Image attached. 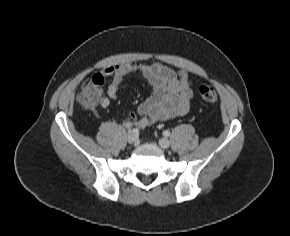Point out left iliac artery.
I'll use <instances>...</instances> for the list:
<instances>
[{"label":"left iliac artery","mask_w":290,"mask_h":236,"mask_svg":"<svg viewBox=\"0 0 290 236\" xmlns=\"http://www.w3.org/2000/svg\"><path fill=\"white\" fill-rule=\"evenodd\" d=\"M163 135L166 136V137H168V136L170 135V131L165 130V131L163 132Z\"/></svg>","instance_id":"left-iliac-artery-1"}]
</instances>
